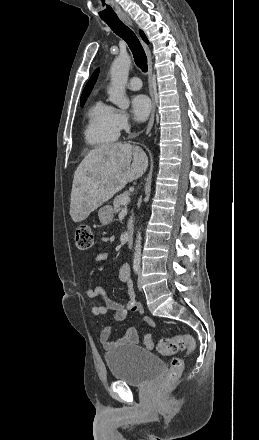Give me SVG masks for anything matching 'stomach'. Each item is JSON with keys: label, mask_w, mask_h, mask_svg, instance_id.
<instances>
[{"label": "stomach", "mask_w": 259, "mask_h": 440, "mask_svg": "<svg viewBox=\"0 0 259 440\" xmlns=\"http://www.w3.org/2000/svg\"><path fill=\"white\" fill-rule=\"evenodd\" d=\"M98 217L102 225H108L114 217V210L110 205L101 207L98 211Z\"/></svg>", "instance_id": "1"}]
</instances>
